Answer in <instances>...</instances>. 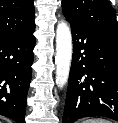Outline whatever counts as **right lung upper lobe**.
Masks as SVG:
<instances>
[{
    "instance_id": "cb5924a9",
    "label": "right lung upper lobe",
    "mask_w": 118,
    "mask_h": 123,
    "mask_svg": "<svg viewBox=\"0 0 118 123\" xmlns=\"http://www.w3.org/2000/svg\"><path fill=\"white\" fill-rule=\"evenodd\" d=\"M34 15L33 0H0V40L35 29Z\"/></svg>"
}]
</instances>
